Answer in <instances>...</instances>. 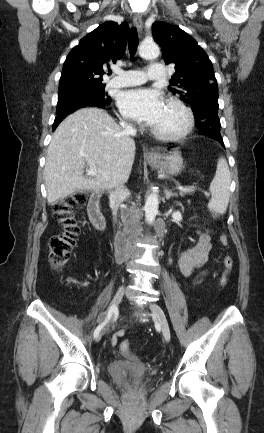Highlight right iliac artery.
I'll list each match as a JSON object with an SVG mask.
<instances>
[{
  "mask_svg": "<svg viewBox=\"0 0 264 433\" xmlns=\"http://www.w3.org/2000/svg\"><path fill=\"white\" fill-rule=\"evenodd\" d=\"M113 313H114V307L111 306V307L108 309V311H107V314H106V317H105L104 321L101 322V323L96 327V329H95V331H94V338H97V337H98L100 331H101L102 328H103V327H104V326L109 322V320L111 319Z\"/></svg>",
  "mask_w": 264,
  "mask_h": 433,
  "instance_id": "obj_1",
  "label": "right iliac artery"
}]
</instances>
